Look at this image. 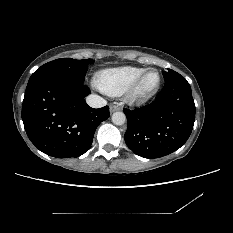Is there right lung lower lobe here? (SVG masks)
I'll list each match as a JSON object with an SVG mask.
<instances>
[{"instance_id":"obj_1","label":"right lung lower lobe","mask_w":233,"mask_h":233,"mask_svg":"<svg viewBox=\"0 0 233 233\" xmlns=\"http://www.w3.org/2000/svg\"><path fill=\"white\" fill-rule=\"evenodd\" d=\"M89 88L65 77H45L28 83L22 105L25 131L34 146L56 158L79 157L91 146L109 107L94 109L85 97Z\"/></svg>"}]
</instances>
